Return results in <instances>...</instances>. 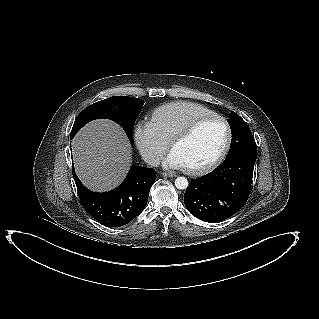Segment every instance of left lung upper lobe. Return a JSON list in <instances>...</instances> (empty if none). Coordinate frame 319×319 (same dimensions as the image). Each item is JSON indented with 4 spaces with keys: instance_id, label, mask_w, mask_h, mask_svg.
Masks as SVG:
<instances>
[{
    "instance_id": "left-lung-upper-lobe-1",
    "label": "left lung upper lobe",
    "mask_w": 319,
    "mask_h": 319,
    "mask_svg": "<svg viewBox=\"0 0 319 319\" xmlns=\"http://www.w3.org/2000/svg\"><path fill=\"white\" fill-rule=\"evenodd\" d=\"M227 116L232 130V141L226 158L244 153L257 155L255 140L248 125L235 112L227 114Z\"/></svg>"
}]
</instances>
